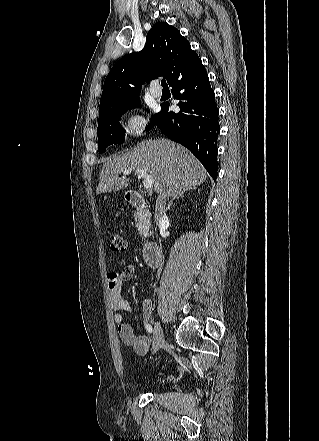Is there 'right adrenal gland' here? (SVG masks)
Wrapping results in <instances>:
<instances>
[{"label":"right adrenal gland","instance_id":"right-adrenal-gland-1","mask_svg":"<svg viewBox=\"0 0 319 441\" xmlns=\"http://www.w3.org/2000/svg\"><path fill=\"white\" fill-rule=\"evenodd\" d=\"M185 190H195V187H187ZM185 190H183L178 196H175V197L170 201V203L168 204L167 209H170V208H171L172 203H173V201H174L175 199H178L179 197L182 198L183 193L185 192Z\"/></svg>","mask_w":319,"mask_h":441}]
</instances>
